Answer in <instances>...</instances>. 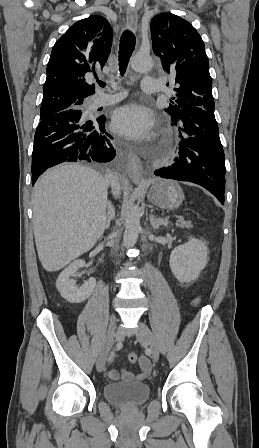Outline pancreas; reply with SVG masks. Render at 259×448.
<instances>
[{"instance_id":"1","label":"pancreas","mask_w":259,"mask_h":448,"mask_svg":"<svg viewBox=\"0 0 259 448\" xmlns=\"http://www.w3.org/2000/svg\"><path fill=\"white\" fill-rule=\"evenodd\" d=\"M176 226H179V228H192L191 222H176Z\"/></svg>"}]
</instances>
